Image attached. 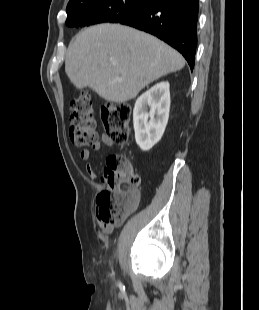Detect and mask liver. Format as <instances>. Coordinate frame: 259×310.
<instances>
[{"label": "liver", "mask_w": 259, "mask_h": 310, "mask_svg": "<svg viewBox=\"0 0 259 310\" xmlns=\"http://www.w3.org/2000/svg\"><path fill=\"white\" fill-rule=\"evenodd\" d=\"M184 65L182 55L163 41L120 24L80 31L65 58V72L77 89L89 87L115 103L135 98L148 84Z\"/></svg>", "instance_id": "1"}]
</instances>
